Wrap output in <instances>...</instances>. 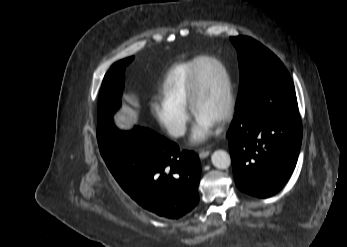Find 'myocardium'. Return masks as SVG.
I'll list each match as a JSON object with an SVG mask.
<instances>
[{
	"label": "myocardium",
	"mask_w": 347,
	"mask_h": 247,
	"mask_svg": "<svg viewBox=\"0 0 347 247\" xmlns=\"http://www.w3.org/2000/svg\"><path fill=\"white\" fill-rule=\"evenodd\" d=\"M204 62H211L217 65L221 69L225 78L226 103H225L222 114L217 120V123L222 124L228 121L233 115L234 107H235V93H234V84H233L231 75L227 67L219 59L215 57H211V56L201 57L199 62L193 67L191 76H190L189 89H188V107L191 113L194 116H197L196 106H197L199 90H200L199 70L201 65Z\"/></svg>",
	"instance_id": "obj_1"
}]
</instances>
